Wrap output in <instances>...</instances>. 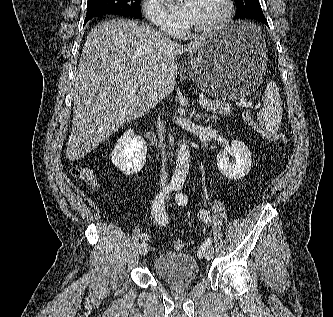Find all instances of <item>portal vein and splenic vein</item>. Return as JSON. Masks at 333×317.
I'll return each mask as SVG.
<instances>
[{"label": "portal vein and splenic vein", "instance_id": "portal-vein-and-splenic-vein-1", "mask_svg": "<svg viewBox=\"0 0 333 317\" xmlns=\"http://www.w3.org/2000/svg\"><path fill=\"white\" fill-rule=\"evenodd\" d=\"M199 103L203 106L207 105L209 103V100L207 99H204V98H201L199 100ZM237 106H243V107H246V108H253V104L251 102H237L236 103ZM256 109H259L260 108V105H256L255 106Z\"/></svg>", "mask_w": 333, "mask_h": 317}]
</instances>
